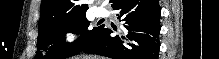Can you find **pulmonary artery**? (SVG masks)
I'll list each match as a JSON object with an SVG mask.
<instances>
[{
	"mask_svg": "<svg viewBox=\"0 0 219 59\" xmlns=\"http://www.w3.org/2000/svg\"><path fill=\"white\" fill-rule=\"evenodd\" d=\"M97 16H105L107 14V11L105 8H97L96 9Z\"/></svg>",
	"mask_w": 219,
	"mask_h": 59,
	"instance_id": "e3ab8cb5",
	"label": "pulmonary artery"
}]
</instances>
